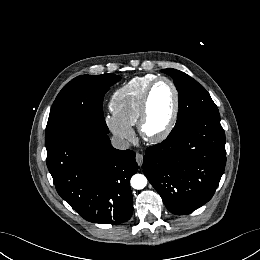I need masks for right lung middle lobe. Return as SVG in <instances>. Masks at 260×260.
<instances>
[{
    "mask_svg": "<svg viewBox=\"0 0 260 260\" xmlns=\"http://www.w3.org/2000/svg\"><path fill=\"white\" fill-rule=\"evenodd\" d=\"M120 79L115 74L81 75L63 87L52 105L46 127L47 155L81 130L93 129L108 134L103 97Z\"/></svg>",
    "mask_w": 260,
    "mask_h": 260,
    "instance_id": "obj_1",
    "label": "right lung middle lobe"
}]
</instances>
